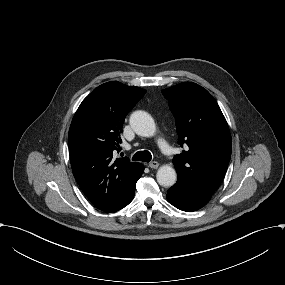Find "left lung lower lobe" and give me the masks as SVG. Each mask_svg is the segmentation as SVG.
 <instances>
[{
  "label": "left lung lower lobe",
  "instance_id": "obj_1",
  "mask_svg": "<svg viewBox=\"0 0 285 285\" xmlns=\"http://www.w3.org/2000/svg\"><path fill=\"white\" fill-rule=\"evenodd\" d=\"M210 198L211 195L199 191L181 180H177L167 193L169 203L187 212L202 208L209 202Z\"/></svg>",
  "mask_w": 285,
  "mask_h": 285
}]
</instances>
